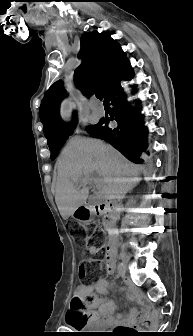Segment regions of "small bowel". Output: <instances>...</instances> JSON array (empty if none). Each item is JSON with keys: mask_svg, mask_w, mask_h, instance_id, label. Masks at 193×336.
<instances>
[{"mask_svg": "<svg viewBox=\"0 0 193 336\" xmlns=\"http://www.w3.org/2000/svg\"><path fill=\"white\" fill-rule=\"evenodd\" d=\"M114 270L115 265H112L107 261L106 272L108 274H111L114 272ZM108 288V281L105 278H99L90 285L77 286L75 293L80 297H87L92 294L105 295L108 291ZM127 295L130 299L139 300V295L136 292H129ZM114 312L115 305L112 301L99 300L94 304L93 309L89 314L83 315L73 313L69 324L80 329L86 323L95 322L99 319H102L106 325H111L115 322V318L113 316ZM125 321L127 322V324L133 326H136L137 324L148 325L152 322V320L148 317H137L135 314H129L126 317ZM103 327H105V325H103Z\"/></svg>", "mask_w": 193, "mask_h": 336, "instance_id": "obj_1", "label": "small bowel"}]
</instances>
